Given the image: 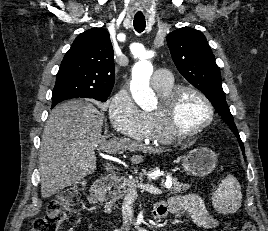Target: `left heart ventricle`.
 I'll return each mask as SVG.
<instances>
[{"label": "left heart ventricle", "instance_id": "left-heart-ventricle-1", "mask_svg": "<svg viewBox=\"0 0 268 231\" xmlns=\"http://www.w3.org/2000/svg\"><path fill=\"white\" fill-rule=\"evenodd\" d=\"M208 117L206 104L194 93H184L176 108L177 127L182 131L197 128Z\"/></svg>", "mask_w": 268, "mask_h": 231}]
</instances>
